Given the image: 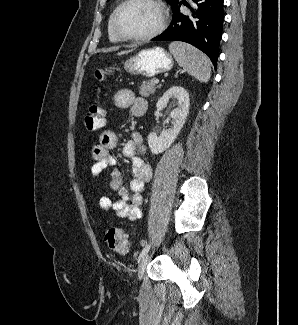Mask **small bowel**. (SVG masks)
I'll use <instances>...</instances> for the list:
<instances>
[{
    "instance_id": "small-bowel-1",
    "label": "small bowel",
    "mask_w": 298,
    "mask_h": 325,
    "mask_svg": "<svg viewBox=\"0 0 298 325\" xmlns=\"http://www.w3.org/2000/svg\"><path fill=\"white\" fill-rule=\"evenodd\" d=\"M114 101L119 108H131L133 115H137V109L146 103L141 98H136L129 89L119 90ZM117 134L112 130H105L99 137V143L92 149L94 164L91 173L98 177L105 169L110 168V186L118 192V198L111 200L107 196L99 199L101 209L114 210L120 218L136 220L141 217L142 192L151 179V166L146 161V151L139 133H134L132 138L123 147L122 153L132 162V179L129 188L123 185V174L117 165L116 158L111 150L117 145Z\"/></svg>"
}]
</instances>
